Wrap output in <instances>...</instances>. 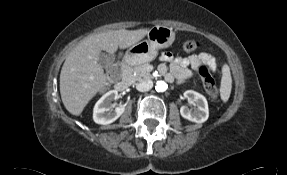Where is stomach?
Wrapping results in <instances>:
<instances>
[{"mask_svg": "<svg viewBox=\"0 0 287 175\" xmlns=\"http://www.w3.org/2000/svg\"><path fill=\"white\" fill-rule=\"evenodd\" d=\"M175 40L172 28L156 25L147 33V39L131 46L124 55L129 65H139L156 58L159 49L168 48Z\"/></svg>", "mask_w": 287, "mask_h": 175, "instance_id": "stomach-1", "label": "stomach"}]
</instances>
